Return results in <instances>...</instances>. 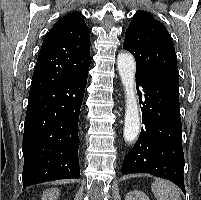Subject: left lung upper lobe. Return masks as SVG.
<instances>
[{
	"label": "left lung upper lobe",
	"instance_id": "1",
	"mask_svg": "<svg viewBox=\"0 0 201 200\" xmlns=\"http://www.w3.org/2000/svg\"><path fill=\"white\" fill-rule=\"evenodd\" d=\"M123 48L135 57L136 73L178 76L177 56L165 26L145 11H137L129 24Z\"/></svg>",
	"mask_w": 201,
	"mask_h": 200
}]
</instances>
